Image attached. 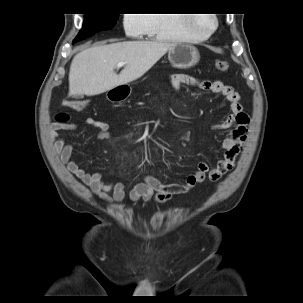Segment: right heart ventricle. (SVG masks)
<instances>
[{"mask_svg":"<svg viewBox=\"0 0 303 303\" xmlns=\"http://www.w3.org/2000/svg\"><path fill=\"white\" fill-rule=\"evenodd\" d=\"M147 36L168 41L192 39L194 34L188 25L186 14H148Z\"/></svg>","mask_w":303,"mask_h":303,"instance_id":"obj_1","label":"right heart ventricle"}]
</instances>
